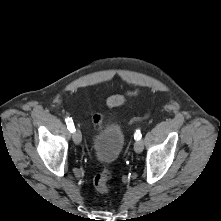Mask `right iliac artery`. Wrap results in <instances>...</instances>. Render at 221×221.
Returning <instances> with one entry per match:
<instances>
[{"mask_svg": "<svg viewBox=\"0 0 221 221\" xmlns=\"http://www.w3.org/2000/svg\"><path fill=\"white\" fill-rule=\"evenodd\" d=\"M65 121H66L68 130H69L70 132H74V131H75V127H74L72 118L67 117V118L65 119Z\"/></svg>", "mask_w": 221, "mask_h": 221, "instance_id": "obj_1", "label": "right iliac artery"}]
</instances>
